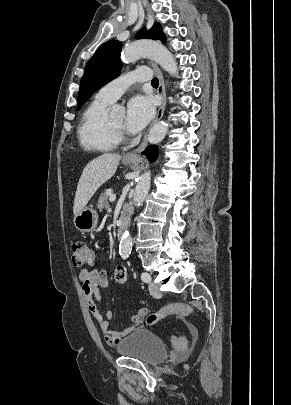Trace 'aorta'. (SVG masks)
<instances>
[{
  "label": "aorta",
  "mask_w": 291,
  "mask_h": 405,
  "mask_svg": "<svg viewBox=\"0 0 291 405\" xmlns=\"http://www.w3.org/2000/svg\"><path fill=\"white\" fill-rule=\"evenodd\" d=\"M146 56L158 63L170 75L176 76L177 63L172 53L161 43L153 40H138L127 46L122 51L121 59L125 63L137 61L140 57ZM117 107L112 108V114L118 111ZM168 131V125L160 122L152 126L149 131L148 141L150 144L161 142ZM151 174L146 172L140 176L133 196L135 207L142 205L150 190ZM132 249V238L126 230L120 240L119 254L122 258H127Z\"/></svg>",
  "instance_id": "obj_1"
}]
</instances>
